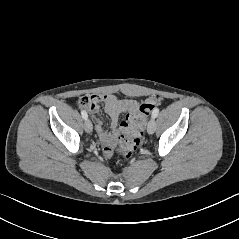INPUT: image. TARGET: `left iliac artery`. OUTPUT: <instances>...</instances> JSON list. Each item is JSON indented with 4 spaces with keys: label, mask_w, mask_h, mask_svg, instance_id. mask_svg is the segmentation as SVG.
Wrapping results in <instances>:
<instances>
[{
    "label": "left iliac artery",
    "mask_w": 239,
    "mask_h": 239,
    "mask_svg": "<svg viewBox=\"0 0 239 239\" xmlns=\"http://www.w3.org/2000/svg\"><path fill=\"white\" fill-rule=\"evenodd\" d=\"M158 114H159V109L156 108V109H154L153 112H152V117L156 118V117L158 116Z\"/></svg>",
    "instance_id": "44dca946"
}]
</instances>
